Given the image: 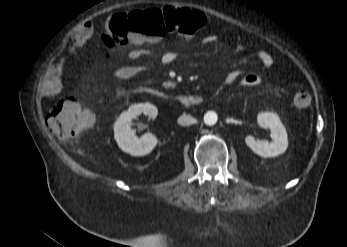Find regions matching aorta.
I'll return each mask as SVG.
<instances>
[{"label":"aorta","instance_id":"762f6f07","mask_svg":"<svg viewBox=\"0 0 347 247\" xmlns=\"http://www.w3.org/2000/svg\"><path fill=\"white\" fill-rule=\"evenodd\" d=\"M217 120H218V116L214 111H208L204 115V122L208 126H212V125L216 124Z\"/></svg>","mask_w":347,"mask_h":247}]
</instances>
